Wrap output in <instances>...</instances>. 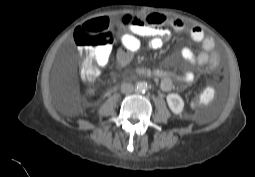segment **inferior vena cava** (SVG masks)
<instances>
[{
	"label": "inferior vena cava",
	"mask_w": 255,
	"mask_h": 177,
	"mask_svg": "<svg viewBox=\"0 0 255 177\" xmlns=\"http://www.w3.org/2000/svg\"><path fill=\"white\" fill-rule=\"evenodd\" d=\"M134 91V86L130 83H123L121 85V92L125 94H130Z\"/></svg>",
	"instance_id": "obj_1"
}]
</instances>
